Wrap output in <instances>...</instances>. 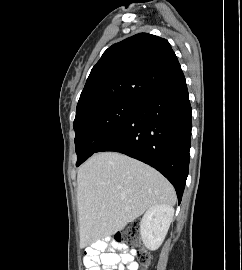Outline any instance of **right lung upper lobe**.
Wrapping results in <instances>:
<instances>
[{
  "instance_id": "1",
  "label": "right lung upper lobe",
  "mask_w": 242,
  "mask_h": 270,
  "mask_svg": "<svg viewBox=\"0 0 242 270\" xmlns=\"http://www.w3.org/2000/svg\"><path fill=\"white\" fill-rule=\"evenodd\" d=\"M181 71L167 40L136 34L103 53L86 81L76 115L113 101H137Z\"/></svg>"
}]
</instances>
